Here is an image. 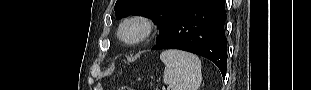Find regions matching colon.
<instances>
[{
  "mask_svg": "<svg viewBox=\"0 0 311 90\" xmlns=\"http://www.w3.org/2000/svg\"><path fill=\"white\" fill-rule=\"evenodd\" d=\"M119 90H133V89L130 87L124 86V87L119 88Z\"/></svg>",
  "mask_w": 311,
  "mask_h": 90,
  "instance_id": "1",
  "label": "colon"
}]
</instances>
